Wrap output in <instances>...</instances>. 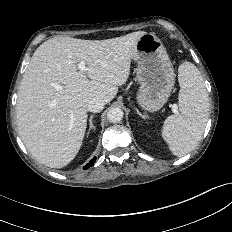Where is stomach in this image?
Segmentation results:
<instances>
[{
  "label": "stomach",
  "mask_w": 232,
  "mask_h": 232,
  "mask_svg": "<svg viewBox=\"0 0 232 232\" xmlns=\"http://www.w3.org/2000/svg\"><path fill=\"white\" fill-rule=\"evenodd\" d=\"M133 60L138 64L140 83L137 101L143 109L157 111L167 102L175 83L174 68L162 41L146 33L136 45Z\"/></svg>",
  "instance_id": "stomach-1"
}]
</instances>
